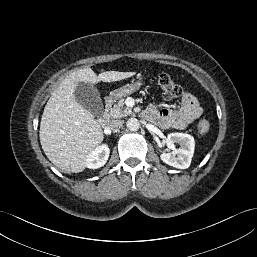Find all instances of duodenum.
<instances>
[{
	"label": "duodenum",
	"mask_w": 257,
	"mask_h": 257,
	"mask_svg": "<svg viewBox=\"0 0 257 257\" xmlns=\"http://www.w3.org/2000/svg\"><path fill=\"white\" fill-rule=\"evenodd\" d=\"M112 103V100L110 98H107L106 99V107L108 108ZM98 124L101 128H104L107 126L108 124V114L107 112H105L103 115H101L99 118H98Z\"/></svg>",
	"instance_id": "duodenum-1"
}]
</instances>
